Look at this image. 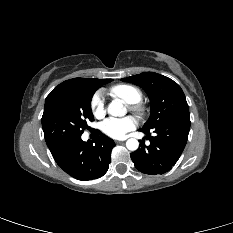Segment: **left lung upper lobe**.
<instances>
[{"label":"left lung upper lobe","instance_id":"5c2ea615","mask_svg":"<svg viewBox=\"0 0 233 233\" xmlns=\"http://www.w3.org/2000/svg\"><path fill=\"white\" fill-rule=\"evenodd\" d=\"M122 81L143 88L151 101L150 117L141 129L151 130L166 121L189 116L185 95L172 79L154 72H144L123 78Z\"/></svg>","mask_w":233,"mask_h":233}]
</instances>
